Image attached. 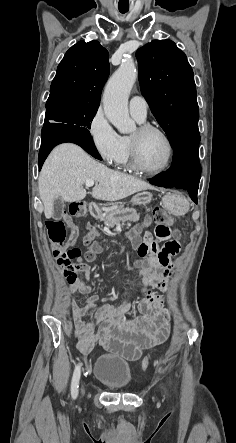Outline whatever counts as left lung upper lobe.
I'll return each instance as SVG.
<instances>
[{
	"label": "left lung upper lobe",
	"mask_w": 236,
	"mask_h": 443,
	"mask_svg": "<svg viewBox=\"0 0 236 443\" xmlns=\"http://www.w3.org/2000/svg\"><path fill=\"white\" fill-rule=\"evenodd\" d=\"M141 92L173 149L199 135V110L193 70L171 40H153L137 50Z\"/></svg>",
	"instance_id": "5c2ea615"
}]
</instances>
